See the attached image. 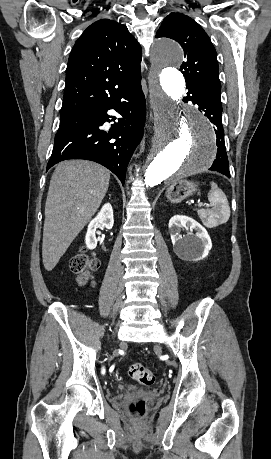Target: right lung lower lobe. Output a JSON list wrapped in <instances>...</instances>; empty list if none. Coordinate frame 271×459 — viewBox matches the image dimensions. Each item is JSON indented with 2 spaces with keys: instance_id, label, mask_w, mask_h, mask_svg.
Wrapping results in <instances>:
<instances>
[{
  "instance_id": "obj_1",
  "label": "right lung lower lobe",
  "mask_w": 271,
  "mask_h": 459,
  "mask_svg": "<svg viewBox=\"0 0 271 459\" xmlns=\"http://www.w3.org/2000/svg\"><path fill=\"white\" fill-rule=\"evenodd\" d=\"M140 80L99 99L92 109L60 119L47 170L63 160H91L111 170L124 185L127 165L141 140L146 115ZM110 109L122 118L106 132L103 124L115 120L107 114Z\"/></svg>"
}]
</instances>
